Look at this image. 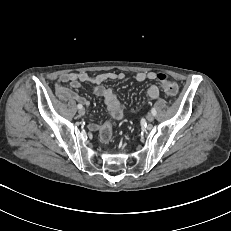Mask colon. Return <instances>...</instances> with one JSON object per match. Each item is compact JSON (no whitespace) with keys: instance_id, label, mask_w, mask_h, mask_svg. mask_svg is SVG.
I'll return each mask as SVG.
<instances>
[{"instance_id":"obj_1","label":"colon","mask_w":231,"mask_h":231,"mask_svg":"<svg viewBox=\"0 0 231 231\" xmlns=\"http://www.w3.org/2000/svg\"><path fill=\"white\" fill-rule=\"evenodd\" d=\"M158 81L162 84L163 89L169 95H176L178 93V86L168 80L165 74L159 73L156 75ZM100 137L107 142L112 137V126L110 123H105L100 129Z\"/></svg>"}]
</instances>
